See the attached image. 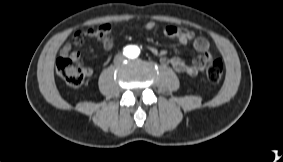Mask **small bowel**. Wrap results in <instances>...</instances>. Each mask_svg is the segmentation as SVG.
I'll return each mask as SVG.
<instances>
[{
	"label": "small bowel",
	"instance_id": "obj_1",
	"mask_svg": "<svg viewBox=\"0 0 283 162\" xmlns=\"http://www.w3.org/2000/svg\"><path fill=\"white\" fill-rule=\"evenodd\" d=\"M144 28L148 31L156 28L154 21H148L144 24ZM111 26L108 23L100 25L97 29H91L86 31H79L75 33L72 43L65 45L61 50V56H74L79 57L78 53L72 52V46H80L85 38H95L100 41L104 49L109 50L113 45L112 38L110 36ZM162 32L166 37L176 39L180 44L185 45L191 43L193 48L202 55L195 58L191 63H188L181 57H168L163 50H159L155 47H149L151 53L159 57L160 63L164 66H168L178 73L185 74L190 77L196 76L202 71L210 59L209 42L204 37L195 36L194 33L188 29L167 25L162 28Z\"/></svg>",
	"mask_w": 283,
	"mask_h": 162
}]
</instances>
